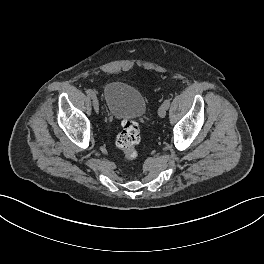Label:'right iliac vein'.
Segmentation results:
<instances>
[{
	"label": "right iliac vein",
	"instance_id": "obj_1",
	"mask_svg": "<svg viewBox=\"0 0 264 264\" xmlns=\"http://www.w3.org/2000/svg\"><path fill=\"white\" fill-rule=\"evenodd\" d=\"M92 99H93V107H94V110L96 112H99V102L97 100V97L94 96V97H92Z\"/></svg>",
	"mask_w": 264,
	"mask_h": 264
}]
</instances>
